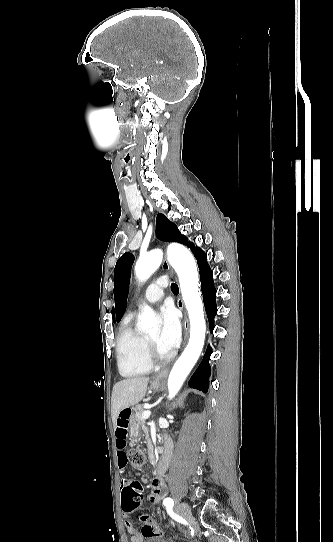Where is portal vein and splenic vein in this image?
Instances as JSON below:
<instances>
[{
  "label": "portal vein and splenic vein",
  "instance_id": "obj_1",
  "mask_svg": "<svg viewBox=\"0 0 333 542\" xmlns=\"http://www.w3.org/2000/svg\"><path fill=\"white\" fill-rule=\"evenodd\" d=\"M150 416H151V412H149V410H146V412H143L142 414L143 420H147V418H150Z\"/></svg>",
  "mask_w": 333,
  "mask_h": 542
}]
</instances>
